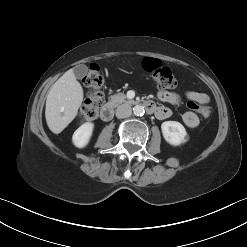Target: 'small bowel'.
<instances>
[{
	"mask_svg": "<svg viewBox=\"0 0 247 247\" xmlns=\"http://www.w3.org/2000/svg\"><path fill=\"white\" fill-rule=\"evenodd\" d=\"M158 98L166 103L177 104L180 101L179 95L174 92L161 90L157 93ZM186 98L188 99V104L197 103V104H207L209 102V97L207 94L197 91L188 90L185 93ZM155 115L158 119L163 120L171 116L172 111L165 106L156 107ZM183 123L188 128H196L199 125L198 116L192 112L187 111L182 115Z\"/></svg>",
	"mask_w": 247,
	"mask_h": 247,
	"instance_id": "c3829d8e",
	"label": "small bowel"
}]
</instances>
